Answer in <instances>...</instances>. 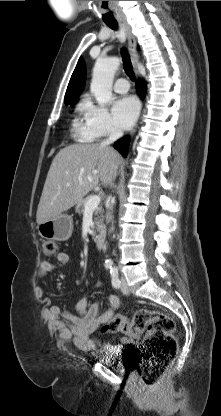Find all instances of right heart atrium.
I'll return each mask as SVG.
<instances>
[{"instance_id":"1","label":"right heart atrium","mask_w":221,"mask_h":416,"mask_svg":"<svg viewBox=\"0 0 221 416\" xmlns=\"http://www.w3.org/2000/svg\"><path fill=\"white\" fill-rule=\"evenodd\" d=\"M82 121L79 127L81 135L88 140H99L105 137H117L121 131L109 111L95 104L86 97L81 104Z\"/></svg>"}]
</instances>
